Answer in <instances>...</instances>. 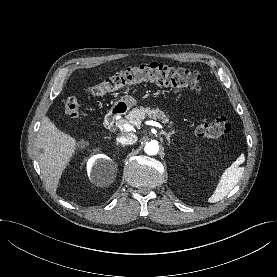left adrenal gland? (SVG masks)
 I'll return each mask as SVG.
<instances>
[{
  "label": "left adrenal gland",
  "mask_w": 277,
  "mask_h": 277,
  "mask_svg": "<svg viewBox=\"0 0 277 277\" xmlns=\"http://www.w3.org/2000/svg\"><path fill=\"white\" fill-rule=\"evenodd\" d=\"M162 134L163 135H165V137H166V139H167V141H168V145H170V137H171V135L173 134V132H165V131H162Z\"/></svg>",
  "instance_id": "1"
}]
</instances>
